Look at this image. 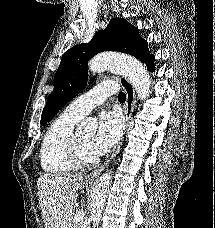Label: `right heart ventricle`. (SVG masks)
Here are the masks:
<instances>
[{"label":"right heart ventricle","mask_w":215,"mask_h":228,"mask_svg":"<svg viewBox=\"0 0 215 228\" xmlns=\"http://www.w3.org/2000/svg\"><path fill=\"white\" fill-rule=\"evenodd\" d=\"M80 118L66 109L47 128L40 146L41 167L46 173L64 174L75 169L66 146Z\"/></svg>","instance_id":"e07e8e85"}]
</instances>
